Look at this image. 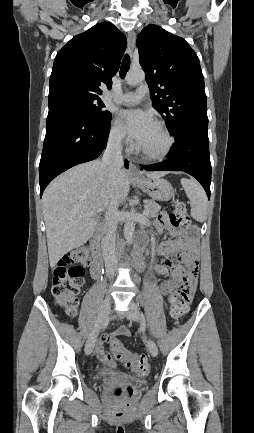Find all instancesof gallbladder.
Returning a JSON list of instances; mask_svg holds the SVG:
<instances>
[{
	"mask_svg": "<svg viewBox=\"0 0 254 433\" xmlns=\"http://www.w3.org/2000/svg\"><path fill=\"white\" fill-rule=\"evenodd\" d=\"M96 230L99 232L101 230V226H98Z\"/></svg>",
	"mask_w": 254,
	"mask_h": 433,
	"instance_id": "1",
	"label": "gallbladder"
}]
</instances>
